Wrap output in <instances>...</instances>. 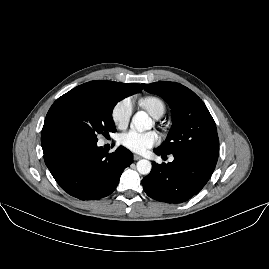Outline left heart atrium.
<instances>
[{"instance_id":"left-heart-atrium-1","label":"left heart atrium","mask_w":269,"mask_h":269,"mask_svg":"<svg viewBox=\"0 0 269 269\" xmlns=\"http://www.w3.org/2000/svg\"><path fill=\"white\" fill-rule=\"evenodd\" d=\"M159 142L160 137L156 132L143 133L131 130L119 136L121 146L134 153H143Z\"/></svg>"}]
</instances>
